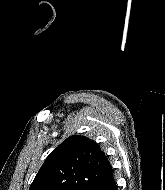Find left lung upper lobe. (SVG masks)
<instances>
[{
    "instance_id": "5c2ea615",
    "label": "left lung upper lobe",
    "mask_w": 165,
    "mask_h": 190,
    "mask_svg": "<svg viewBox=\"0 0 165 190\" xmlns=\"http://www.w3.org/2000/svg\"><path fill=\"white\" fill-rule=\"evenodd\" d=\"M112 171L97 143L73 135L49 154L29 190H98Z\"/></svg>"
}]
</instances>
